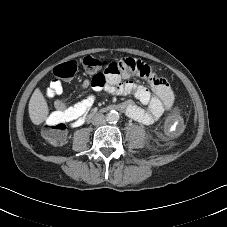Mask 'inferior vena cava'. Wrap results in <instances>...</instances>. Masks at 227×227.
I'll return each instance as SVG.
<instances>
[{
  "mask_svg": "<svg viewBox=\"0 0 227 227\" xmlns=\"http://www.w3.org/2000/svg\"><path fill=\"white\" fill-rule=\"evenodd\" d=\"M91 122L93 125L95 126H100V125H103L105 124L106 122V119H105V116L101 113H97L95 114L92 119H91Z\"/></svg>",
  "mask_w": 227,
  "mask_h": 227,
  "instance_id": "obj_1",
  "label": "inferior vena cava"
}]
</instances>
